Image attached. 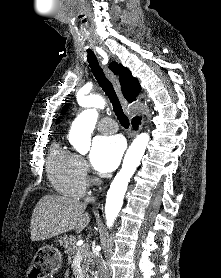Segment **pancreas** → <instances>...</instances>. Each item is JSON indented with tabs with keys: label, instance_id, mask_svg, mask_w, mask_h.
Instances as JSON below:
<instances>
[{
	"label": "pancreas",
	"instance_id": "obj_1",
	"mask_svg": "<svg viewBox=\"0 0 221 278\" xmlns=\"http://www.w3.org/2000/svg\"><path fill=\"white\" fill-rule=\"evenodd\" d=\"M60 245L65 248V253L68 254V262L71 264L72 260L76 257L81 247L75 245L76 238L74 236L64 235L58 239ZM92 254L88 245H85V249L82 251V270L84 277L87 278L88 272H91V265L93 264Z\"/></svg>",
	"mask_w": 221,
	"mask_h": 278
}]
</instances>
